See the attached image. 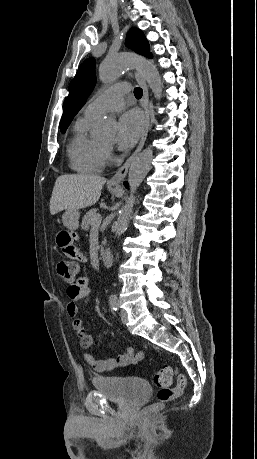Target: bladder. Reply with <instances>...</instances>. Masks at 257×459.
I'll return each instance as SVG.
<instances>
[{
	"label": "bladder",
	"instance_id": "bladder-1",
	"mask_svg": "<svg viewBox=\"0 0 257 459\" xmlns=\"http://www.w3.org/2000/svg\"><path fill=\"white\" fill-rule=\"evenodd\" d=\"M94 390L120 404L135 403L151 393L149 384L138 378L119 375H100L92 379Z\"/></svg>",
	"mask_w": 257,
	"mask_h": 459
}]
</instances>
